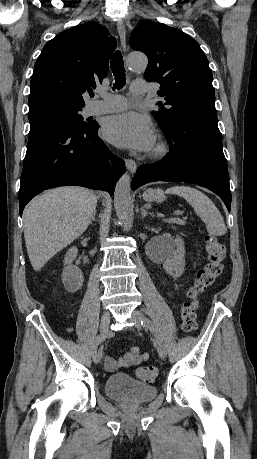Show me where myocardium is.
<instances>
[{"label":"myocardium","instance_id":"f54148a6","mask_svg":"<svg viewBox=\"0 0 257 459\" xmlns=\"http://www.w3.org/2000/svg\"><path fill=\"white\" fill-rule=\"evenodd\" d=\"M168 151L169 147L167 143L163 139H159L151 151V156L153 158H162L168 153Z\"/></svg>","mask_w":257,"mask_h":459}]
</instances>
